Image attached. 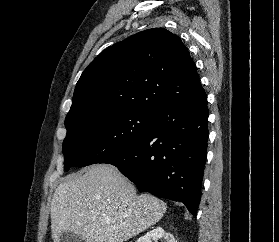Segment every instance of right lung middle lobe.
<instances>
[{"label":"right lung middle lobe","mask_w":279,"mask_h":242,"mask_svg":"<svg viewBox=\"0 0 279 242\" xmlns=\"http://www.w3.org/2000/svg\"><path fill=\"white\" fill-rule=\"evenodd\" d=\"M155 113L143 110H117L94 118H72L65 122L64 168L84 167L134 145L152 130Z\"/></svg>","instance_id":"obj_1"}]
</instances>
